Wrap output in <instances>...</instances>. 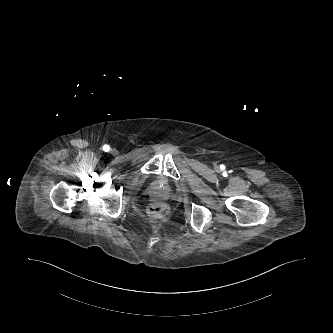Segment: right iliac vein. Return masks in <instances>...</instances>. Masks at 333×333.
Segmentation results:
<instances>
[{
  "mask_svg": "<svg viewBox=\"0 0 333 333\" xmlns=\"http://www.w3.org/2000/svg\"><path fill=\"white\" fill-rule=\"evenodd\" d=\"M110 152H111V154H113V155H116V154H117V150H116V149H114V148H113V149H111V151H110Z\"/></svg>",
  "mask_w": 333,
  "mask_h": 333,
  "instance_id": "right-iliac-vein-1",
  "label": "right iliac vein"
}]
</instances>
